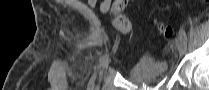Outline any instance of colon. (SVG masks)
Instances as JSON below:
<instances>
[{
  "label": "colon",
  "mask_w": 209,
  "mask_h": 90,
  "mask_svg": "<svg viewBox=\"0 0 209 90\" xmlns=\"http://www.w3.org/2000/svg\"><path fill=\"white\" fill-rule=\"evenodd\" d=\"M209 4V0L206 1ZM127 4V0H116L114 1L112 7V14H113V23L117 29L122 31L123 33H129L131 31V24L130 21L122 15V11L124 10ZM154 23L159 30V32L167 39L173 36V30L170 26L165 25L158 19L154 20Z\"/></svg>",
  "instance_id": "colon-1"
}]
</instances>
